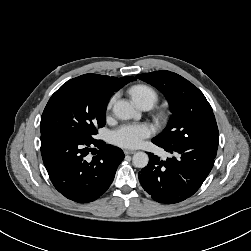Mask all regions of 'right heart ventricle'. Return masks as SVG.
<instances>
[{
    "label": "right heart ventricle",
    "instance_id": "e07e8e85",
    "mask_svg": "<svg viewBox=\"0 0 251 251\" xmlns=\"http://www.w3.org/2000/svg\"><path fill=\"white\" fill-rule=\"evenodd\" d=\"M131 95L136 104L150 102L152 105L157 101L158 95L154 88L149 85H136L131 88Z\"/></svg>",
    "mask_w": 251,
    "mask_h": 251
}]
</instances>
